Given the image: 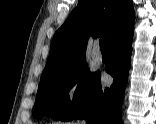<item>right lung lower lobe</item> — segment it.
I'll return each mask as SVG.
<instances>
[{"mask_svg": "<svg viewBox=\"0 0 156 124\" xmlns=\"http://www.w3.org/2000/svg\"><path fill=\"white\" fill-rule=\"evenodd\" d=\"M132 38L133 28L108 46L111 58L105 69L114 78L111 87L102 88L100 73L97 72L82 101L74 106L62 121L75 118L86 119L88 124H123L121 105L128 80Z\"/></svg>", "mask_w": 156, "mask_h": 124, "instance_id": "obj_1", "label": "right lung lower lobe"}]
</instances>
